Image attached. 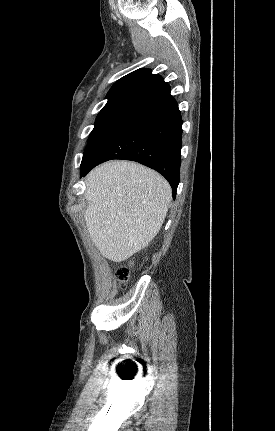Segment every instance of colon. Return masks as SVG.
<instances>
[{"instance_id": "obj_1", "label": "colon", "mask_w": 275, "mask_h": 431, "mask_svg": "<svg viewBox=\"0 0 275 431\" xmlns=\"http://www.w3.org/2000/svg\"><path fill=\"white\" fill-rule=\"evenodd\" d=\"M131 275V270L129 266H121L119 267L116 272L115 276L118 281V285L120 288H125L126 283L128 282Z\"/></svg>"}]
</instances>
